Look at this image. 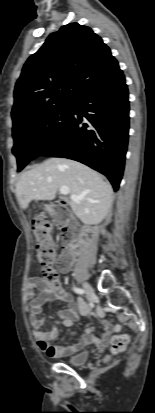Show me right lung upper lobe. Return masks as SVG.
<instances>
[{
  "label": "right lung upper lobe",
  "mask_w": 155,
  "mask_h": 413,
  "mask_svg": "<svg viewBox=\"0 0 155 413\" xmlns=\"http://www.w3.org/2000/svg\"><path fill=\"white\" fill-rule=\"evenodd\" d=\"M118 67L109 47L89 27L78 23L63 26L24 64L14 91L13 127L74 103Z\"/></svg>",
  "instance_id": "obj_1"
}]
</instances>
